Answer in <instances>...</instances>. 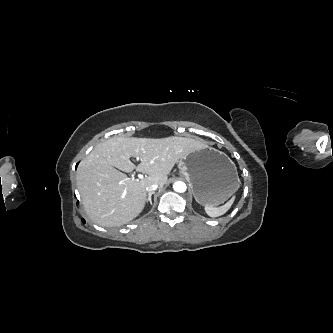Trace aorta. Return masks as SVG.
<instances>
[{"instance_id":"1","label":"aorta","mask_w":333,"mask_h":333,"mask_svg":"<svg viewBox=\"0 0 333 333\" xmlns=\"http://www.w3.org/2000/svg\"><path fill=\"white\" fill-rule=\"evenodd\" d=\"M173 189L176 191V192H179V193H183L186 191L187 189V186L184 182H176L174 183L173 185Z\"/></svg>"}]
</instances>
